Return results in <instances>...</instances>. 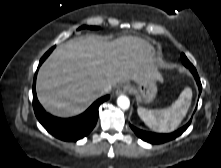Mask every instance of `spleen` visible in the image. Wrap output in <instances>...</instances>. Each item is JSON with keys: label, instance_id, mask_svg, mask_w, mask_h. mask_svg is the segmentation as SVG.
Masks as SVG:
<instances>
[{"label": "spleen", "instance_id": "1", "mask_svg": "<svg viewBox=\"0 0 221 168\" xmlns=\"http://www.w3.org/2000/svg\"><path fill=\"white\" fill-rule=\"evenodd\" d=\"M191 98L192 90L185 88L171 106L156 110L138 107L137 112L142 121L152 130L169 133L174 131L186 116L191 105Z\"/></svg>", "mask_w": 221, "mask_h": 168}]
</instances>
